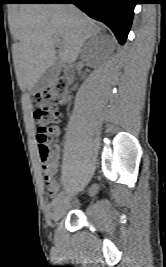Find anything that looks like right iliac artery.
<instances>
[{
  "mask_svg": "<svg viewBox=\"0 0 166 267\" xmlns=\"http://www.w3.org/2000/svg\"><path fill=\"white\" fill-rule=\"evenodd\" d=\"M63 197V192L59 193L52 201V205L56 206L62 199Z\"/></svg>",
  "mask_w": 166,
  "mask_h": 267,
  "instance_id": "right-iliac-artery-1",
  "label": "right iliac artery"
}]
</instances>
